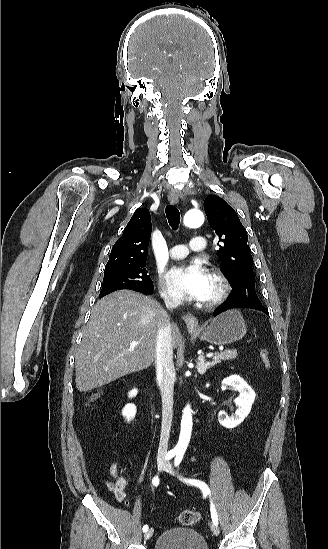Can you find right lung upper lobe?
<instances>
[{
    "instance_id": "cb5924a9",
    "label": "right lung upper lobe",
    "mask_w": 328,
    "mask_h": 549,
    "mask_svg": "<svg viewBox=\"0 0 328 549\" xmlns=\"http://www.w3.org/2000/svg\"><path fill=\"white\" fill-rule=\"evenodd\" d=\"M151 229L149 211L137 209L114 244L105 271L146 262Z\"/></svg>"
}]
</instances>
